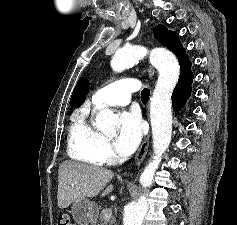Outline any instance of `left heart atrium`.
Returning <instances> with one entry per match:
<instances>
[{
    "label": "left heart atrium",
    "mask_w": 237,
    "mask_h": 225,
    "mask_svg": "<svg viewBox=\"0 0 237 225\" xmlns=\"http://www.w3.org/2000/svg\"><path fill=\"white\" fill-rule=\"evenodd\" d=\"M143 135V124L140 115L135 111L123 112L120 116V127L114 144L122 156L132 154L138 147Z\"/></svg>",
    "instance_id": "obj_1"
}]
</instances>
